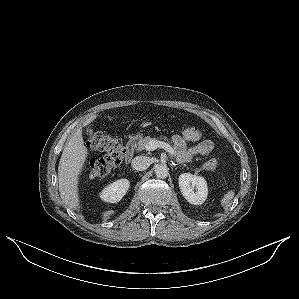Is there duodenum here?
Listing matches in <instances>:
<instances>
[{
	"mask_svg": "<svg viewBox=\"0 0 299 299\" xmlns=\"http://www.w3.org/2000/svg\"><path fill=\"white\" fill-rule=\"evenodd\" d=\"M135 146H136V140L130 139L124 148V157L125 161L128 163L132 159L135 151Z\"/></svg>",
	"mask_w": 299,
	"mask_h": 299,
	"instance_id": "duodenum-1",
	"label": "duodenum"
}]
</instances>
